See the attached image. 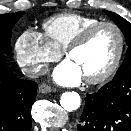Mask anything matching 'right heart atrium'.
I'll return each mask as SVG.
<instances>
[{
	"label": "right heart atrium",
	"mask_w": 131,
	"mask_h": 131,
	"mask_svg": "<svg viewBox=\"0 0 131 131\" xmlns=\"http://www.w3.org/2000/svg\"><path fill=\"white\" fill-rule=\"evenodd\" d=\"M15 52L19 65L34 75L42 73L62 55L43 34L34 30H26L18 37Z\"/></svg>",
	"instance_id": "d8ad5b80"
}]
</instances>
